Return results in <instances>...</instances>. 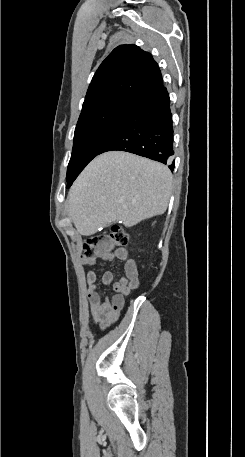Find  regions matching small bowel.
<instances>
[{"instance_id":"c3829d8e","label":"small bowel","mask_w":245,"mask_h":457,"mask_svg":"<svg viewBox=\"0 0 245 457\" xmlns=\"http://www.w3.org/2000/svg\"><path fill=\"white\" fill-rule=\"evenodd\" d=\"M97 257L84 258V266H93ZM102 260H119L123 264V274L120 279L114 282L113 274L105 271L100 279L97 278L95 270L89 271L86 276L87 300L94 324L105 328L118 319L124 308L126 298L139 285L140 272L134 259L129 256L126 249L120 248L113 253L101 256ZM113 284L114 294L110 297H102L99 293L100 286Z\"/></svg>"}]
</instances>
